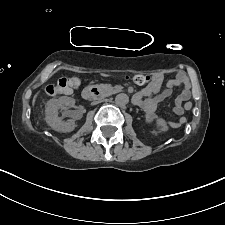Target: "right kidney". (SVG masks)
<instances>
[{"mask_svg": "<svg viewBox=\"0 0 225 225\" xmlns=\"http://www.w3.org/2000/svg\"><path fill=\"white\" fill-rule=\"evenodd\" d=\"M75 104V100L71 97H60L58 99H51L47 102V107L45 110L46 113V122L47 124L54 129L55 131L59 132H71L75 129L76 124L73 120L69 122H63L61 118L58 116V111L60 108L66 107L70 108L73 107Z\"/></svg>", "mask_w": 225, "mask_h": 225, "instance_id": "obj_1", "label": "right kidney"}]
</instances>
